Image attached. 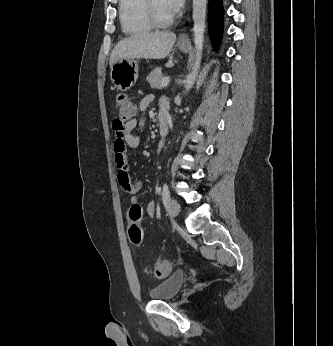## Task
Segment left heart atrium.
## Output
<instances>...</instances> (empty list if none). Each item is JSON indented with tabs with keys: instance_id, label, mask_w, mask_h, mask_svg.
<instances>
[{
	"instance_id": "39dd6f15",
	"label": "left heart atrium",
	"mask_w": 333,
	"mask_h": 346,
	"mask_svg": "<svg viewBox=\"0 0 333 346\" xmlns=\"http://www.w3.org/2000/svg\"><path fill=\"white\" fill-rule=\"evenodd\" d=\"M185 0H163L165 9L172 15L178 13L184 5Z\"/></svg>"
}]
</instances>
